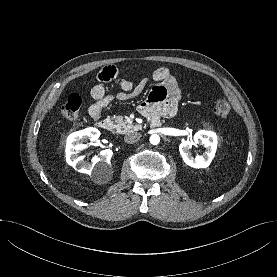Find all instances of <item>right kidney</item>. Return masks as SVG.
Instances as JSON below:
<instances>
[{
  "mask_svg": "<svg viewBox=\"0 0 277 277\" xmlns=\"http://www.w3.org/2000/svg\"><path fill=\"white\" fill-rule=\"evenodd\" d=\"M99 136L100 132L96 128H86L70 134L66 143L67 163L77 171L86 174H90L98 163H110L113 155L110 149L101 151L99 157L94 158L91 164L86 163L83 160V156H78L79 152L87 148V144H83L84 141H95Z\"/></svg>",
  "mask_w": 277,
  "mask_h": 277,
  "instance_id": "1",
  "label": "right kidney"
}]
</instances>
